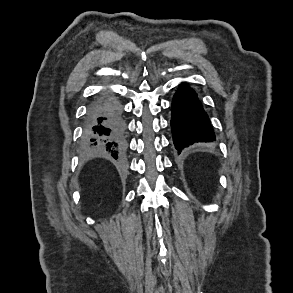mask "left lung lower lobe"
<instances>
[{"mask_svg": "<svg viewBox=\"0 0 293 293\" xmlns=\"http://www.w3.org/2000/svg\"><path fill=\"white\" fill-rule=\"evenodd\" d=\"M171 110L173 143L178 154L194 143L215 140V134L201 102L186 83L178 86Z\"/></svg>", "mask_w": 293, "mask_h": 293, "instance_id": "1", "label": "left lung lower lobe"}]
</instances>
